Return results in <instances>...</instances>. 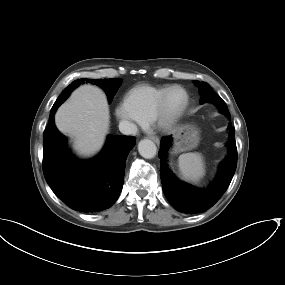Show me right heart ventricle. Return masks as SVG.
Listing matches in <instances>:
<instances>
[{
	"label": "right heart ventricle",
	"mask_w": 285,
	"mask_h": 285,
	"mask_svg": "<svg viewBox=\"0 0 285 285\" xmlns=\"http://www.w3.org/2000/svg\"><path fill=\"white\" fill-rule=\"evenodd\" d=\"M167 89V86H136L126 93L124 102L140 123L148 124Z\"/></svg>",
	"instance_id": "1"
}]
</instances>
